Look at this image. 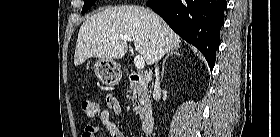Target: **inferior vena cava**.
<instances>
[{"label": "inferior vena cava", "instance_id": "inferior-vena-cava-1", "mask_svg": "<svg viewBox=\"0 0 280 137\" xmlns=\"http://www.w3.org/2000/svg\"><path fill=\"white\" fill-rule=\"evenodd\" d=\"M161 92L160 89V77H159V68L155 67V85H154V94H159Z\"/></svg>", "mask_w": 280, "mask_h": 137}]
</instances>
